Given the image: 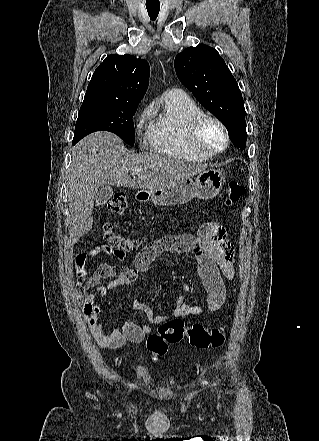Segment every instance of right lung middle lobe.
<instances>
[{"label": "right lung middle lobe", "mask_w": 319, "mask_h": 441, "mask_svg": "<svg viewBox=\"0 0 319 441\" xmlns=\"http://www.w3.org/2000/svg\"><path fill=\"white\" fill-rule=\"evenodd\" d=\"M136 104L119 102H83L75 126L73 145L95 131H110L127 144L134 145L133 115Z\"/></svg>", "instance_id": "obj_1"}]
</instances>
